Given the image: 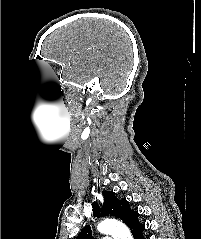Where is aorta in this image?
I'll return each instance as SVG.
<instances>
[{
	"mask_svg": "<svg viewBox=\"0 0 201 239\" xmlns=\"http://www.w3.org/2000/svg\"><path fill=\"white\" fill-rule=\"evenodd\" d=\"M97 230L100 233L112 235L114 239H133L127 226L115 219L103 220L98 224Z\"/></svg>",
	"mask_w": 201,
	"mask_h": 239,
	"instance_id": "1",
	"label": "aorta"
}]
</instances>
